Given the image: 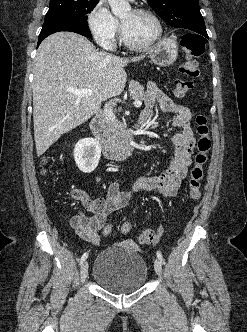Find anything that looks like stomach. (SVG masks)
Returning <instances> with one entry per match:
<instances>
[{"mask_svg": "<svg viewBox=\"0 0 247 332\" xmlns=\"http://www.w3.org/2000/svg\"><path fill=\"white\" fill-rule=\"evenodd\" d=\"M178 54V44L175 38L164 39L158 43L151 51L150 58L158 66L172 65Z\"/></svg>", "mask_w": 247, "mask_h": 332, "instance_id": "obj_1", "label": "stomach"}]
</instances>
